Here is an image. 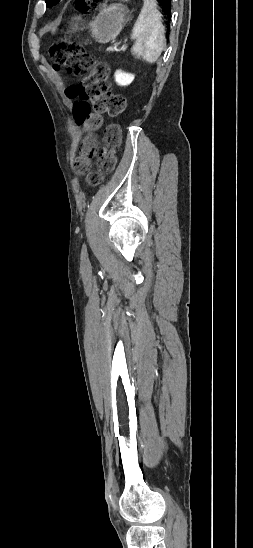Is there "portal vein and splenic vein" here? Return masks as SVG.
<instances>
[{
    "label": "portal vein and splenic vein",
    "mask_w": 253,
    "mask_h": 548,
    "mask_svg": "<svg viewBox=\"0 0 253 548\" xmlns=\"http://www.w3.org/2000/svg\"><path fill=\"white\" fill-rule=\"evenodd\" d=\"M122 49H123V50H126V49H127V45H123Z\"/></svg>",
    "instance_id": "1"
}]
</instances>
